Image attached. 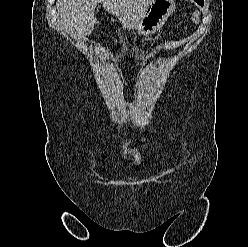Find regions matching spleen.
I'll return each mask as SVG.
<instances>
[{
  "label": "spleen",
  "mask_w": 248,
  "mask_h": 247,
  "mask_svg": "<svg viewBox=\"0 0 248 247\" xmlns=\"http://www.w3.org/2000/svg\"><path fill=\"white\" fill-rule=\"evenodd\" d=\"M200 13L198 11H195L193 14H192V21L195 23V24H198L200 22V17H199Z\"/></svg>",
  "instance_id": "3e777b00"
}]
</instances>
